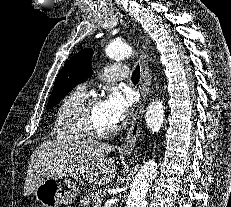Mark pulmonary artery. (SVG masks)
Here are the masks:
<instances>
[{
  "mask_svg": "<svg viewBox=\"0 0 231 207\" xmlns=\"http://www.w3.org/2000/svg\"><path fill=\"white\" fill-rule=\"evenodd\" d=\"M128 73L129 70L125 65L110 64L105 68L103 78L107 81H118L125 79L128 76ZM80 88L84 90L86 88V84H82Z\"/></svg>",
  "mask_w": 231,
  "mask_h": 207,
  "instance_id": "1",
  "label": "pulmonary artery"
}]
</instances>
